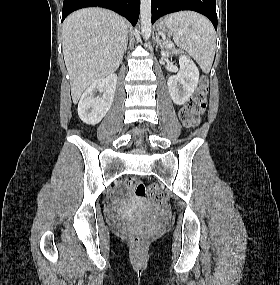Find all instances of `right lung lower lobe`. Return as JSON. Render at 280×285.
Segmentation results:
<instances>
[{"mask_svg": "<svg viewBox=\"0 0 280 285\" xmlns=\"http://www.w3.org/2000/svg\"><path fill=\"white\" fill-rule=\"evenodd\" d=\"M104 7L127 18L136 25L139 17L140 0H64L62 22L73 11L84 7Z\"/></svg>", "mask_w": 280, "mask_h": 285, "instance_id": "obj_1", "label": "right lung lower lobe"}]
</instances>
